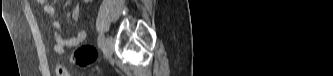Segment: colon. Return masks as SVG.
Returning a JSON list of instances; mask_svg holds the SVG:
<instances>
[{
    "label": "colon",
    "mask_w": 333,
    "mask_h": 76,
    "mask_svg": "<svg viewBox=\"0 0 333 76\" xmlns=\"http://www.w3.org/2000/svg\"><path fill=\"white\" fill-rule=\"evenodd\" d=\"M97 58L95 48L90 44L80 46L72 56L71 60L79 67H89Z\"/></svg>",
    "instance_id": "colon-1"
}]
</instances>
